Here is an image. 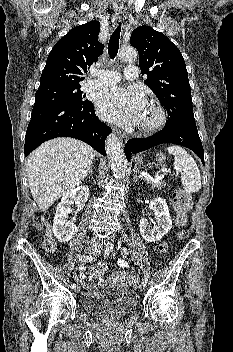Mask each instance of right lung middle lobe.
Returning a JSON list of instances; mask_svg holds the SVG:
<instances>
[{
  "label": "right lung middle lobe",
  "mask_w": 233,
  "mask_h": 352,
  "mask_svg": "<svg viewBox=\"0 0 233 352\" xmlns=\"http://www.w3.org/2000/svg\"><path fill=\"white\" fill-rule=\"evenodd\" d=\"M80 85L51 84L41 86L36 92L35 107L48 105H74L82 103Z\"/></svg>",
  "instance_id": "dd1d6c3e"
}]
</instances>
